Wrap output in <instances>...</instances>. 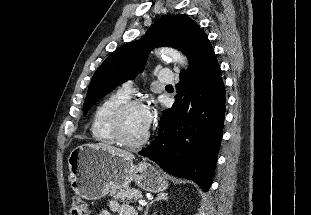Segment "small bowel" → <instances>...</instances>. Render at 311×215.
Listing matches in <instances>:
<instances>
[{
	"instance_id": "c3829d8e",
	"label": "small bowel",
	"mask_w": 311,
	"mask_h": 215,
	"mask_svg": "<svg viewBox=\"0 0 311 215\" xmlns=\"http://www.w3.org/2000/svg\"><path fill=\"white\" fill-rule=\"evenodd\" d=\"M137 215L134 208L130 205L120 204L115 200L109 201L107 207L100 211L97 215Z\"/></svg>"
}]
</instances>
